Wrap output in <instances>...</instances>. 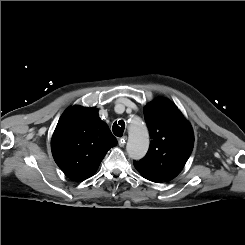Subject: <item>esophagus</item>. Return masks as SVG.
Listing matches in <instances>:
<instances>
[{"label":"esophagus","mask_w":245,"mask_h":245,"mask_svg":"<svg viewBox=\"0 0 245 245\" xmlns=\"http://www.w3.org/2000/svg\"><path fill=\"white\" fill-rule=\"evenodd\" d=\"M127 141V136H123L119 139L118 144L120 147H124Z\"/></svg>","instance_id":"esophagus-1"}]
</instances>
